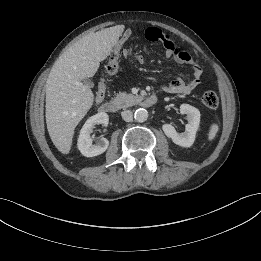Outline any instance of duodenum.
Instances as JSON below:
<instances>
[{"mask_svg": "<svg viewBox=\"0 0 261 261\" xmlns=\"http://www.w3.org/2000/svg\"><path fill=\"white\" fill-rule=\"evenodd\" d=\"M157 100L158 98L156 95H150L143 99L142 106L146 108L152 107L157 103ZM100 111L103 113H114L117 111V104L112 101L104 102L100 106Z\"/></svg>", "mask_w": 261, "mask_h": 261, "instance_id": "1", "label": "duodenum"}]
</instances>
